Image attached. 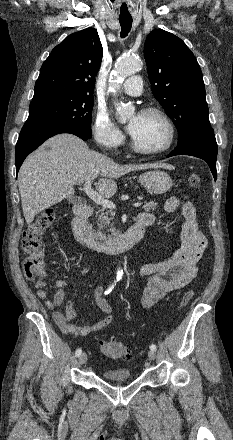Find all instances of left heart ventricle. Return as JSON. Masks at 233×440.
<instances>
[{"label":"left heart ventricle","instance_id":"1","mask_svg":"<svg viewBox=\"0 0 233 440\" xmlns=\"http://www.w3.org/2000/svg\"><path fill=\"white\" fill-rule=\"evenodd\" d=\"M134 123L132 137L142 148L154 150L164 146L168 140V128L157 115L139 114L130 119Z\"/></svg>","mask_w":233,"mask_h":440}]
</instances>
